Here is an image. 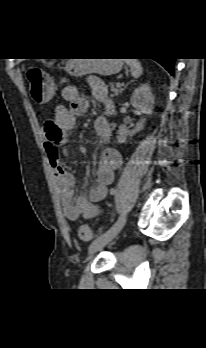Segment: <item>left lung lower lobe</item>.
Listing matches in <instances>:
<instances>
[{"label":"left lung lower lobe","instance_id":"1","mask_svg":"<svg viewBox=\"0 0 206 348\" xmlns=\"http://www.w3.org/2000/svg\"><path fill=\"white\" fill-rule=\"evenodd\" d=\"M156 61L165 67L171 75H174L175 58L156 59Z\"/></svg>","mask_w":206,"mask_h":348}]
</instances>
